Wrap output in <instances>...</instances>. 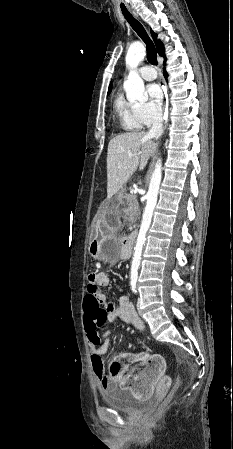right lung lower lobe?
<instances>
[{
  "label": "right lung lower lobe",
  "mask_w": 233,
  "mask_h": 449,
  "mask_svg": "<svg viewBox=\"0 0 233 449\" xmlns=\"http://www.w3.org/2000/svg\"><path fill=\"white\" fill-rule=\"evenodd\" d=\"M165 64V63H164ZM164 76H165V78L167 79V73H166V71H165V69H164Z\"/></svg>",
  "instance_id": "right-lung-lower-lobe-1"
}]
</instances>
